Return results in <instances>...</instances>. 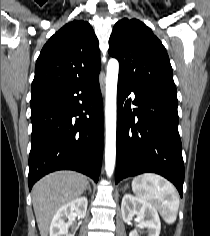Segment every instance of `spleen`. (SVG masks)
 Listing matches in <instances>:
<instances>
[{"instance_id":"spleen-1","label":"spleen","mask_w":210,"mask_h":236,"mask_svg":"<svg viewBox=\"0 0 210 236\" xmlns=\"http://www.w3.org/2000/svg\"><path fill=\"white\" fill-rule=\"evenodd\" d=\"M134 193L143 201L152 204L168 224L177 218L179 196L175 187L161 176L146 173L132 181Z\"/></svg>"}]
</instances>
